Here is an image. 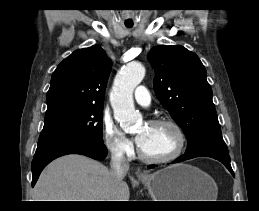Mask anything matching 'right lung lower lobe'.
<instances>
[{
  "label": "right lung lower lobe",
  "instance_id": "right-lung-lower-lobe-1",
  "mask_svg": "<svg viewBox=\"0 0 259 211\" xmlns=\"http://www.w3.org/2000/svg\"><path fill=\"white\" fill-rule=\"evenodd\" d=\"M107 148L98 142L80 136H58L40 139L32 161V186L35 185L44 167L57 157L66 154H81L102 160L107 156Z\"/></svg>",
  "mask_w": 259,
  "mask_h": 211
}]
</instances>
